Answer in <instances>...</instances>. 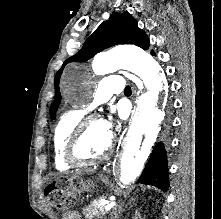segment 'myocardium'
I'll return each mask as SVG.
<instances>
[{
    "mask_svg": "<svg viewBox=\"0 0 221 219\" xmlns=\"http://www.w3.org/2000/svg\"><path fill=\"white\" fill-rule=\"evenodd\" d=\"M93 121H99V118L96 116H90L84 118L80 121V123L75 127L71 136L69 137L64 151L65 160L74 167H88L91 165H95L103 160H105L113 151L115 147V137L110 134L109 144L106 150L99 156L94 157L89 160H85L79 157L78 155V147L84 131L88 127V125Z\"/></svg>",
    "mask_w": 221,
    "mask_h": 219,
    "instance_id": "obj_1",
    "label": "myocardium"
}]
</instances>
